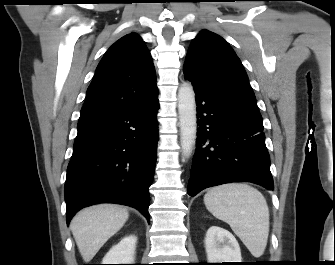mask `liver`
I'll use <instances>...</instances> for the list:
<instances>
[{
	"label": "liver",
	"mask_w": 335,
	"mask_h": 265,
	"mask_svg": "<svg viewBox=\"0 0 335 265\" xmlns=\"http://www.w3.org/2000/svg\"><path fill=\"white\" fill-rule=\"evenodd\" d=\"M128 210L115 204H98L81 210L70 229L84 262H90L100 248L128 220Z\"/></svg>",
	"instance_id": "obj_1"
}]
</instances>
